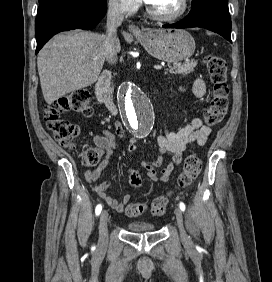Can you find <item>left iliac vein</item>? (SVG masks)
<instances>
[{"label":"left iliac vein","mask_w":272,"mask_h":282,"mask_svg":"<svg viewBox=\"0 0 272 282\" xmlns=\"http://www.w3.org/2000/svg\"><path fill=\"white\" fill-rule=\"evenodd\" d=\"M175 216H176V221H177V225L180 231V237H181V241L183 242L184 245H190V239L184 229V225H183V212L180 208L176 207L175 208Z\"/></svg>","instance_id":"left-iliac-vein-1"}]
</instances>
